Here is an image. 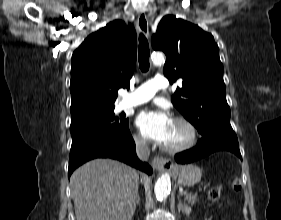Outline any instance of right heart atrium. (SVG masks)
I'll use <instances>...</instances> for the list:
<instances>
[{
	"label": "right heart atrium",
	"mask_w": 281,
	"mask_h": 220,
	"mask_svg": "<svg viewBox=\"0 0 281 220\" xmlns=\"http://www.w3.org/2000/svg\"><path fill=\"white\" fill-rule=\"evenodd\" d=\"M134 143L140 149H146L148 147L146 139L139 133L134 135Z\"/></svg>",
	"instance_id": "right-heart-atrium-1"
}]
</instances>
